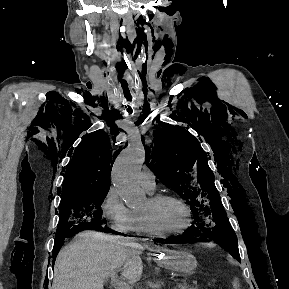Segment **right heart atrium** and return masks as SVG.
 Returning a JSON list of instances; mask_svg holds the SVG:
<instances>
[{
    "instance_id": "obj_1",
    "label": "right heart atrium",
    "mask_w": 289,
    "mask_h": 289,
    "mask_svg": "<svg viewBox=\"0 0 289 289\" xmlns=\"http://www.w3.org/2000/svg\"><path fill=\"white\" fill-rule=\"evenodd\" d=\"M102 215L108 226L119 233L134 231L135 218L114 188H110L101 203Z\"/></svg>"
}]
</instances>
